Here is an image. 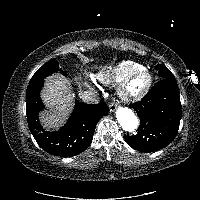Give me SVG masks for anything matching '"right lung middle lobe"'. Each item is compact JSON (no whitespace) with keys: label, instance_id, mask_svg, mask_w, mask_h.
Segmentation results:
<instances>
[{"label":"right lung middle lobe","instance_id":"right-lung-middle-lobe-1","mask_svg":"<svg viewBox=\"0 0 200 200\" xmlns=\"http://www.w3.org/2000/svg\"><path fill=\"white\" fill-rule=\"evenodd\" d=\"M57 71H60L63 75H66L62 69H59L58 62L55 59H50L46 64L36 71V73L32 76L30 83L37 80H43L48 75H51Z\"/></svg>","mask_w":200,"mask_h":200}]
</instances>
